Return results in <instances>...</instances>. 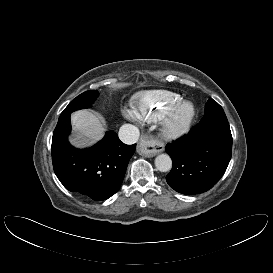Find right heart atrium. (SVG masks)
Wrapping results in <instances>:
<instances>
[{"label": "right heart atrium", "mask_w": 273, "mask_h": 273, "mask_svg": "<svg viewBox=\"0 0 273 273\" xmlns=\"http://www.w3.org/2000/svg\"><path fill=\"white\" fill-rule=\"evenodd\" d=\"M124 113L125 116L133 122H138L140 119L138 113L134 109H126Z\"/></svg>", "instance_id": "1"}]
</instances>
